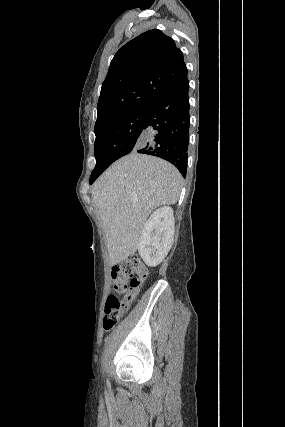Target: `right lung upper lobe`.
<instances>
[{
	"instance_id": "right-lung-upper-lobe-1",
	"label": "right lung upper lobe",
	"mask_w": 285,
	"mask_h": 427,
	"mask_svg": "<svg viewBox=\"0 0 285 427\" xmlns=\"http://www.w3.org/2000/svg\"><path fill=\"white\" fill-rule=\"evenodd\" d=\"M183 53L160 30L125 44L111 61L97 104L95 127L150 102L187 79Z\"/></svg>"
}]
</instances>
